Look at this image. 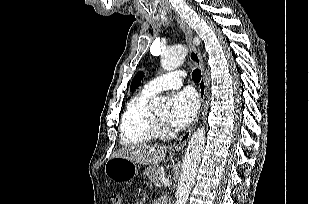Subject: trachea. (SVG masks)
<instances>
[{
    "label": "trachea",
    "instance_id": "1",
    "mask_svg": "<svg viewBox=\"0 0 309 204\" xmlns=\"http://www.w3.org/2000/svg\"><path fill=\"white\" fill-rule=\"evenodd\" d=\"M192 79L194 82H199L201 80V71L199 69H195L192 72Z\"/></svg>",
    "mask_w": 309,
    "mask_h": 204
}]
</instances>
